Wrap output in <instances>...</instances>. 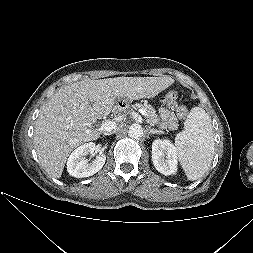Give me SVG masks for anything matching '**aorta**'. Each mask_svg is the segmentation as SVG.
<instances>
[{"label":"aorta","mask_w":253,"mask_h":253,"mask_svg":"<svg viewBox=\"0 0 253 253\" xmlns=\"http://www.w3.org/2000/svg\"><path fill=\"white\" fill-rule=\"evenodd\" d=\"M144 131L141 125L139 124H133L129 128L128 135L133 139H140L143 137Z\"/></svg>","instance_id":"762f6f07"}]
</instances>
